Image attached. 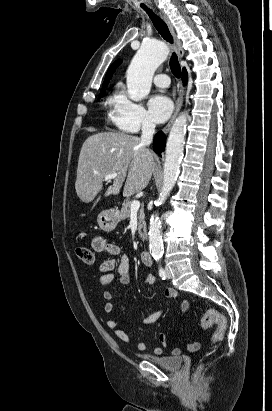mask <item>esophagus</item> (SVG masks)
<instances>
[{"label":"esophagus","mask_w":272,"mask_h":411,"mask_svg":"<svg viewBox=\"0 0 272 411\" xmlns=\"http://www.w3.org/2000/svg\"><path fill=\"white\" fill-rule=\"evenodd\" d=\"M159 14L162 17V19L164 20V22L166 23V25L168 26V29H169V31H170L173 39H174L176 53H177L179 59H181L184 56V50H183V47H182V42L179 39V37L177 36V34L175 32V29H174L172 23L170 22V20L168 19V17L165 14L161 13V12ZM184 92H185L184 87H182L181 90H180L179 97L176 101V106H175L174 113H173L170 121L167 123V125L163 129L164 133L169 132L176 116L178 115V113H179V111L182 107Z\"/></svg>","instance_id":"obj_1"}]
</instances>
